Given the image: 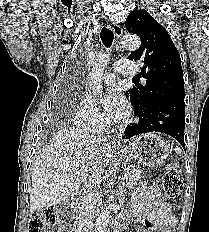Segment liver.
I'll list each match as a JSON object with an SVG mask.
<instances>
[{
    "label": "liver",
    "mask_w": 209,
    "mask_h": 232,
    "mask_svg": "<svg viewBox=\"0 0 209 232\" xmlns=\"http://www.w3.org/2000/svg\"><path fill=\"white\" fill-rule=\"evenodd\" d=\"M112 159L111 145L76 128H64L38 155L32 168L30 212L67 202L82 192Z\"/></svg>",
    "instance_id": "1"
}]
</instances>
